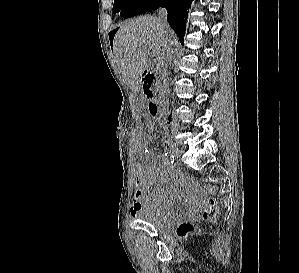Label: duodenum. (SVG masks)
Instances as JSON below:
<instances>
[{
  "mask_svg": "<svg viewBox=\"0 0 299 273\" xmlns=\"http://www.w3.org/2000/svg\"><path fill=\"white\" fill-rule=\"evenodd\" d=\"M154 79L155 75L153 72L150 70H145L142 75V90L148 102L149 113L152 116L161 119L163 117L161 101L153 90Z\"/></svg>",
  "mask_w": 299,
  "mask_h": 273,
  "instance_id": "obj_1",
  "label": "duodenum"
}]
</instances>
